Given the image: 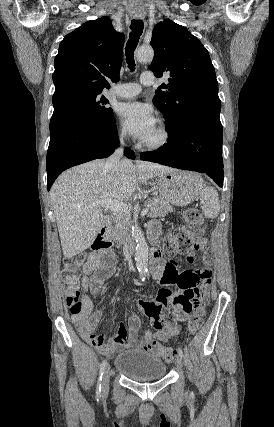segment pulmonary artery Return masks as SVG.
Instances as JSON below:
<instances>
[{
	"instance_id": "e3ab8cb5",
	"label": "pulmonary artery",
	"mask_w": 274,
	"mask_h": 427,
	"mask_svg": "<svg viewBox=\"0 0 274 427\" xmlns=\"http://www.w3.org/2000/svg\"><path fill=\"white\" fill-rule=\"evenodd\" d=\"M154 84V81L151 77H148L146 73H143L140 78V83H126L119 84L114 87L113 93L122 98H131L134 97L142 91V86H151Z\"/></svg>"
}]
</instances>
